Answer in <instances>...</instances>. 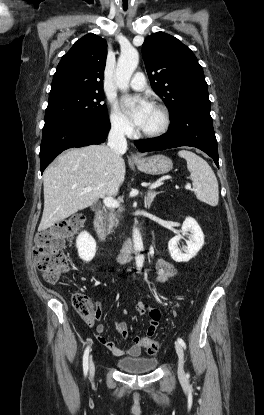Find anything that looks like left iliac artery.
I'll return each instance as SVG.
<instances>
[{"mask_svg": "<svg viewBox=\"0 0 264 415\" xmlns=\"http://www.w3.org/2000/svg\"><path fill=\"white\" fill-rule=\"evenodd\" d=\"M178 343L182 346V347H184V348H186V344H185V342H184V340L183 339H181V338H178Z\"/></svg>", "mask_w": 264, "mask_h": 415, "instance_id": "44dca946", "label": "left iliac artery"}]
</instances>
